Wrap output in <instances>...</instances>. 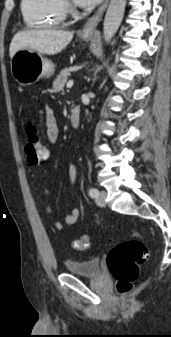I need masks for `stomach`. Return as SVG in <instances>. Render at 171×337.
<instances>
[{"label":"stomach","instance_id":"obj_1","mask_svg":"<svg viewBox=\"0 0 171 337\" xmlns=\"http://www.w3.org/2000/svg\"><path fill=\"white\" fill-rule=\"evenodd\" d=\"M89 40L91 35H83ZM11 72L21 85H30L41 78H50L55 72V65L42 54L29 49L17 51L11 58Z\"/></svg>","mask_w":171,"mask_h":337}]
</instances>
